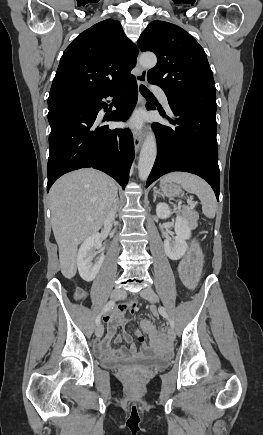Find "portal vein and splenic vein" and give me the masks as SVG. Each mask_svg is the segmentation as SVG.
Instances as JSON below:
<instances>
[{"label": "portal vein and splenic vein", "instance_id": "1", "mask_svg": "<svg viewBox=\"0 0 263 435\" xmlns=\"http://www.w3.org/2000/svg\"><path fill=\"white\" fill-rule=\"evenodd\" d=\"M193 207H194V205H193V204H191V206L189 207V209H193Z\"/></svg>", "mask_w": 263, "mask_h": 435}]
</instances>
